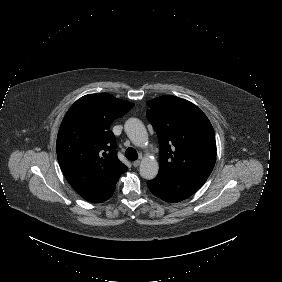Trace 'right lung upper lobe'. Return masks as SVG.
<instances>
[{
	"instance_id": "cb5924a9",
	"label": "right lung upper lobe",
	"mask_w": 282,
	"mask_h": 282,
	"mask_svg": "<svg viewBox=\"0 0 282 282\" xmlns=\"http://www.w3.org/2000/svg\"><path fill=\"white\" fill-rule=\"evenodd\" d=\"M133 106L107 93L85 95L61 123L58 162L68 182L87 201L110 191L128 169L117 157L110 126Z\"/></svg>"
}]
</instances>
